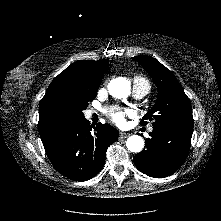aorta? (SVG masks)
Wrapping results in <instances>:
<instances>
[{
	"mask_svg": "<svg viewBox=\"0 0 221 221\" xmlns=\"http://www.w3.org/2000/svg\"><path fill=\"white\" fill-rule=\"evenodd\" d=\"M109 94L115 98H126L130 95V81L125 77L112 79L108 85ZM127 149L137 153L142 151L144 140L139 135L129 136L126 141Z\"/></svg>",
	"mask_w": 221,
	"mask_h": 221,
	"instance_id": "obj_1",
	"label": "aorta"
}]
</instances>
